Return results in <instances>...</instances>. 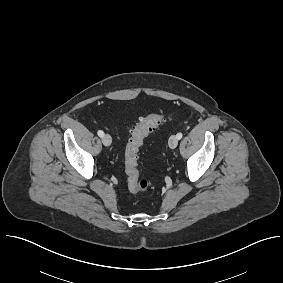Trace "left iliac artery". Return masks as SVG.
<instances>
[{"instance_id":"44dca946","label":"left iliac artery","mask_w":283,"mask_h":283,"mask_svg":"<svg viewBox=\"0 0 283 283\" xmlns=\"http://www.w3.org/2000/svg\"><path fill=\"white\" fill-rule=\"evenodd\" d=\"M182 136H183L182 133H178V134L176 135V137L178 138V140L181 139Z\"/></svg>"}]
</instances>
